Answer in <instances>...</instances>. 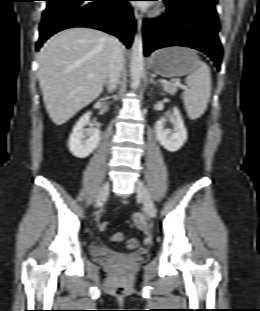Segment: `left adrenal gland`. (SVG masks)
Returning <instances> with one entry per match:
<instances>
[{
    "label": "left adrenal gland",
    "instance_id": "obj_1",
    "mask_svg": "<svg viewBox=\"0 0 260 311\" xmlns=\"http://www.w3.org/2000/svg\"><path fill=\"white\" fill-rule=\"evenodd\" d=\"M149 82L152 83V84H155V85L157 84V83L154 81L153 77H150Z\"/></svg>",
    "mask_w": 260,
    "mask_h": 311
}]
</instances>
